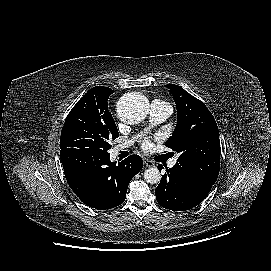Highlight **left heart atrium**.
Instances as JSON below:
<instances>
[{
  "label": "left heart atrium",
  "mask_w": 271,
  "mask_h": 271,
  "mask_svg": "<svg viewBox=\"0 0 271 271\" xmlns=\"http://www.w3.org/2000/svg\"><path fill=\"white\" fill-rule=\"evenodd\" d=\"M150 142L149 141H147V140H145L143 143H142V147H143V149H145V150H148L149 148H150Z\"/></svg>",
  "instance_id": "left-heart-atrium-1"
}]
</instances>
